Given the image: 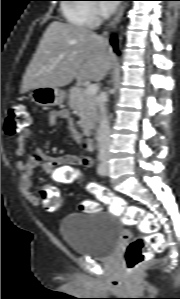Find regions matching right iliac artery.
<instances>
[{"instance_id":"right-iliac-artery-1","label":"right iliac artery","mask_w":180,"mask_h":299,"mask_svg":"<svg viewBox=\"0 0 180 299\" xmlns=\"http://www.w3.org/2000/svg\"><path fill=\"white\" fill-rule=\"evenodd\" d=\"M97 172L99 175L103 176L105 174V166L103 163H101L99 166H98V169H97Z\"/></svg>"}]
</instances>
